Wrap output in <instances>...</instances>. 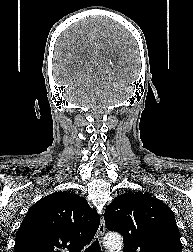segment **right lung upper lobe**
Instances as JSON below:
<instances>
[{
  "mask_svg": "<svg viewBox=\"0 0 193 252\" xmlns=\"http://www.w3.org/2000/svg\"><path fill=\"white\" fill-rule=\"evenodd\" d=\"M99 224L100 216L84 197L55 192L27 212L16 235L15 252H80Z\"/></svg>",
  "mask_w": 193,
  "mask_h": 252,
  "instance_id": "right-lung-upper-lobe-1",
  "label": "right lung upper lobe"
}]
</instances>
